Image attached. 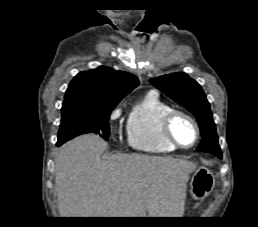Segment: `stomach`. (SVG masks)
<instances>
[{
  "label": "stomach",
  "mask_w": 258,
  "mask_h": 227,
  "mask_svg": "<svg viewBox=\"0 0 258 227\" xmlns=\"http://www.w3.org/2000/svg\"><path fill=\"white\" fill-rule=\"evenodd\" d=\"M215 186V177L211 170L199 167L190 180V194L193 199L201 200L208 196Z\"/></svg>",
  "instance_id": "1"
}]
</instances>
